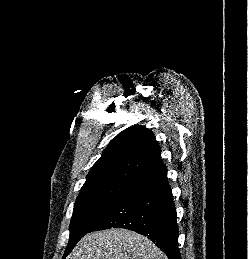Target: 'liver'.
I'll return each instance as SVG.
<instances>
[{
	"label": "liver",
	"instance_id": "1",
	"mask_svg": "<svg viewBox=\"0 0 248 259\" xmlns=\"http://www.w3.org/2000/svg\"><path fill=\"white\" fill-rule=\"evenodd\" d=\"M68 259H167L148 238L114 228L85 235Z\"/></svg>",
	"mask_w": 248,
	"mask_h": 259
}]
</instances>
